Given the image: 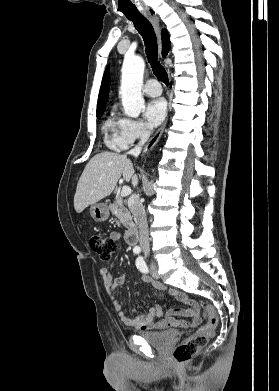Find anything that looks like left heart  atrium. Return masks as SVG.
<instances>
[{"label":"left heart atrium","mask_w":279,"mask_h":391,"mask_svg":"<svg viewBox=\"0 0 279 391\" xmlns=\"http://www.w3.org/2000/svg\"><path fill=\"white\" fill-rule=\"evenodd\" d=\"M167 105L164 99L158 98L147 103L144 109V116L152 127L159 125L165 118Z\"/></svg>","instance_id":"left-heart-atrium-1"}]
</instances>
